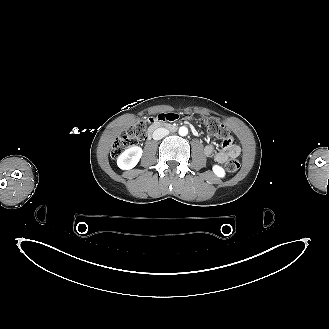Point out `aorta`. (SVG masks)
<instances>
[{
  "label": "aorta",
  "mask_w": 329,
  "mask_h": 329,
  "mask_svg": "<svg viewBox=\"0 0 329 329\" xmlns=\"http://www.w3.org/2000/svg\"><path fill=\"white\" fill-rule=\"evenodd\" d=\"M188 134V128L185 126H181L179 128V135L186 136Z\"/></svg>",
  "instance_id": "obj_1"
}]
</instances>
